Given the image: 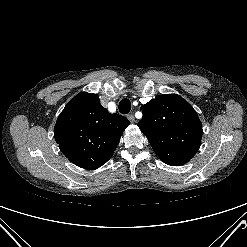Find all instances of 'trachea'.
Returning <instances> with one entry per match:
<instances>
[{
    "instance_id": "3493384b",
    "label": "trachea",
    "mask_w": 247,
    "mask_h": 247,
    "mask_svg": "<svg viewBox=\"0 0 247 247\" xmlns=\"http://www.w3.org/2000/svg\"><path fill=\"white\" fill-rule=\"evenodd\" d=\"M131 110V102L128 99H122L119 103V111L122 114H127Z\"/></svg>"
}]
</instances>
